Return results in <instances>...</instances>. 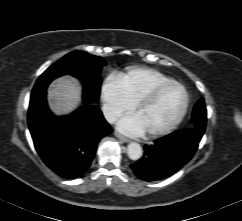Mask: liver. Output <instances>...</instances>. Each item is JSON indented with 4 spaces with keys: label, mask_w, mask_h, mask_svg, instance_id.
Returning a JSON list of instances; mask_svg holds the SVG:
<instances>
[{
    "label": "liver",
    "mask_w": 242,
    "mask_h": 221,
    "mask_svg": "<svg viewBox=\"0 0 242 221\" xmlns=\"http://www.w3.org/2000/svg\"><path fill=\"white\" fill-rule=\"evenodd\" d=\"M48 96L50 109L56 116L68 115L81 101V87L76 79L61 77L51 84Z\"/></svg>",
    "instance_id": "liver-1"
}]
</instances>
